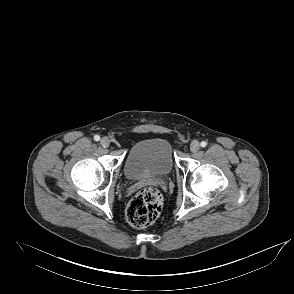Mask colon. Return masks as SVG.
<instances>
[{"instance_id":"5ec220e1","label":"colon","mask_w":294,"mask_h":294,"mask_svg":"<svg viewBox=\"0 0 294 294\" xmlns=\"http://www.w3.org/2000/svg\"><path fill=\"white\" fill-rule=\"evenodd\" d=\"M163 205L160 192L147 187L140 190L129 202L126 209L128 222L136 228H145L159 217Z\"/></svg>"}]
</instances>
